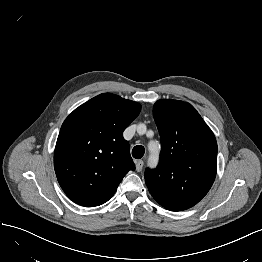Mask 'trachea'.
Masks as SVG:
<instances>
[{
	"instance_id": "3493384b",
	"label": "trachea",
	"mask_w": 262,
	"mask_h": 262,
	"mask_svg": "<svg viewBox=\"0 0 262 262\" xmlns=\"http://www.w3.org/2000/svg\"><path fill=\"white\" fill-rule=\"evenodd\" d=\"M145 153V148L142 146V145H137L133 148L132 150V156L135 158V159H140L143 157Z\"/></svg>"
}]
</instances>
